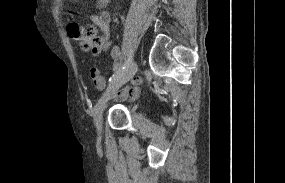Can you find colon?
Masks as SVG:
<instances>
[{"mask_svg": "<svg viewBox=\"0 0 285 183\" xmlns=\"http://www.w3.org/2000/svg\"><path fill=\"white\" fill-rule=\"evenodd\" d=\"M68 32L74 40L82 41L85 48H95L99 44V38L94 36V30L91 27H81L77 23H71L68 26Z\"/></svg>", "mask_w": 285, "mask_h": 183, "instance_id": "1", "label": "colon"}]
</instances>
